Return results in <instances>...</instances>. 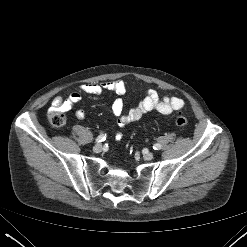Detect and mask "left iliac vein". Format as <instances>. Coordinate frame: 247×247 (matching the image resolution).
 I'll return each mask as SVG.
<instances>
[{"instance_id": "1", "label": "left iliac vein", "mask_w": 247, "mask_h": 247, "mask_svg": "<svg viewBox=\"0 0 247 247\" xmlns=\"http://www.w3.org/2000/svg\"><path fill=\"white\" fill-rule=\"evenodd\" d=\"M143 157H144V159H146V160H152L153 157H154V155H153V153H151V152H149V151H145V152L143 153Z\"/></svg>"}]
</instances>
